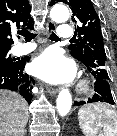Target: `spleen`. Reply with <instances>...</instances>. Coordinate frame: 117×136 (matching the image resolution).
I'll list each match as a JSON object with an SVG mask.
<instances>
[{"label": "spleen", "mask_w": 117, "mask_h": 136, "mask_svg": "<svg viewBox=\"0 0 117 136\" xmlns=\"http://www.w3.org/2000/svg\"><path fill=\"white\" fill-rule=\"evenodd\" d=\"M79 125L85 136H117V112L105 103L87 104L78 112Z\"/></svg>", "instance_id": "1"}]
</instances>
